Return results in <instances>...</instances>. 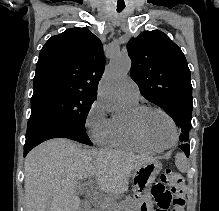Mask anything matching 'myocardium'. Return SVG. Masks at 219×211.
<instances>
[{
	"mask_svg": "<svg viewBox=\"0 0 219 211\" xmlns=\"http://www.w3.org/2000/svg\"><path fill=\"white\" fill-rule=\"evenodd\" d=\"M151 111H155V112H159L163 114L170 121L173 131H174V136H175L174 142L171 145L166 146V147H159L155 145L154 143H152L151 140L147 137L144 127H143V120H144L145 115ZM129 123L136 137L142 143L146 144L147 146L151 147L152 149L156 151H165V150L171 149L174 146H176L179 140V133H178V128H177L175 120L167 111H165L164 109L160 107L152 106V105L138 106L136 109H134L129 114Z\"/></svg>",
	"mask_w": 219,
	"mask_h": 211,
	"instance_id": "f54148a6",
	"label": "myocardium"
}]
</instances>
